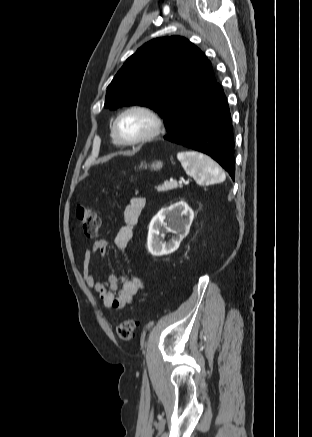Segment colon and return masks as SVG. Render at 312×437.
<instances>
[{
  "label": "colon",
  "instance_id": "5ec220e1",
  "mask_svg": "<svg viewBox=\"0 0 312 437\" xmlns=\"http://www.w3.org/2000/svg\"><path fill=\"white\" fill-rule=\"evenodd\" d=\"M76 216L86 236L95 237L98 235L99 218L93 209L83 205H78L76 208ZM135 327L136 322L133 319H125L121 321L116 328L118 337L122 341L132 340Z\"/></svg>",
  "mask_w": 312,
  "mask_h": 437
}]
</instances>
